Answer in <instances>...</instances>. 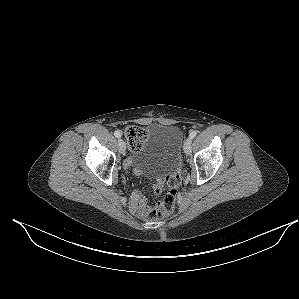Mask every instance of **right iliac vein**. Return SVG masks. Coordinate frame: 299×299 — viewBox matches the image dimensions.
I'll return each mask as SVG.
<instances>
[{
    "label": "right iliac vein",
    "instance_id": "right-iliac-vein-1",
    "mask_svg": "<svg viewBox=\"0 0 299 299\" xmlns=\"http://www.w3.org/2000/svg\"><path fill=\"white\" fill-rule=\"evenodd\" d=\"M118 147H119V152L121 154H124L126 151V144L123 139L118 140Z\"/></svg>",
    "mask_w": 299,
    "mask_h": 299
}]
</instances>
